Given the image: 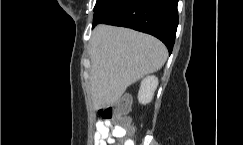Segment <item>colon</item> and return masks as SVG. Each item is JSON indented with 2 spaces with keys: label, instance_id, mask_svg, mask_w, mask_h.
Returning a JSON list of instances; mask_svg holds the SVG:
<instances>
[{
  "label": "colon",
  "instance_id": "5ec220e1",
  "mask_svg": "<svg viewBox=\"0 0 243 145\" xmlns=\"http://www.w3.org/2000/svg\"><path fill=\"white\" fill-rule=\"evenodd\" d=\"M129 109H130V100L128 97L125 96L122 97L114 105L101 109L99 111V115L103 120L116 122L117 126L122 128L125 131L126 135H132L134 133V126L129 116ZM125 142L116 145H124Z\"/></svg>",
  "mask_w": 243,
  "mask_h": 145
}]
</instances>
